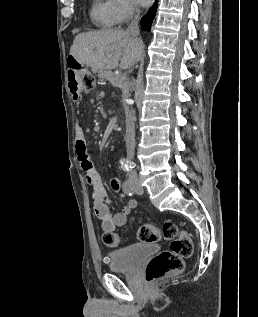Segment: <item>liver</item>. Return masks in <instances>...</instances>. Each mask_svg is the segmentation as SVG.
<instances>
[{"label": "liver", "mask_w": 258, "mask_h": 317, "mask_svg": "<svg viewBox=\"0 0 258 317\" xmlns=\"http://www.w3.org/2000/svg\"><path fill=\"white\" fill-rule=\"evenodd\" d=\"M141 50L140 38H134L128 30L110 28V30L79 32L73 40L70 54L80 64H87L106 72L116 66L122 68L132 66L140 56ZM118 60H121L120 64Z\"/></svg>", "instance_id": "obj_1"}]
</instances>
